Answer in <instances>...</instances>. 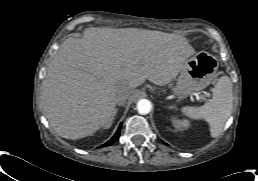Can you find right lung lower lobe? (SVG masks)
I'll list each match as a JSON object with an SVG mask.
<instances>
[{"mask_svg":"<svg viewBox=\"0 0 258 181\" xmlns=\"http://www.w3.org/2000/svg\"><path fill=\"white\" fill-rule=\"evenodd\" d=\"M120 129H121V125H120V127L118 128L116 134L111 138V140H109L108 142H106V143L104 144V146L112 145V144L119 138Z\"/></svg>","mask_w":258,"mask_h":181,"instance_id":"98d812e1","label":"right lung lower lobe"}]
</instances>
